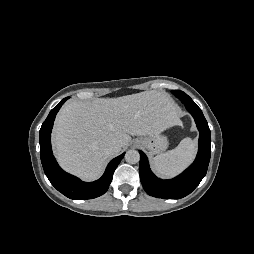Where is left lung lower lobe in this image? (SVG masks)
<instances>
[{"mask_svg": "<svg viewBox=\"0 0 254 254\" xmlns=\"http://www.w3.org/2000/svg\"><path fill=\"white\" fill-rule=\"evenodd\" d=\"M199 130V148L195 161L183 173L170 180L157 178L149 167L146 155L140 152L139 174L144 190L162 199H180L190 194L206 175L211 155V134L208 123L197 105H185Z\"/></svg>", "mask_w": 254, "mask_h": 254, "instance_id": "1", "label": "left lung lower lobe"}]
</instances>
